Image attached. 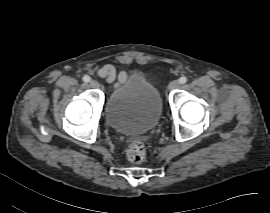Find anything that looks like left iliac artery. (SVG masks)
<instances>
[{"mask_svg":"<svg viewBox=\"0 0 270 213\" xmlns=\"http://www.w3.org/2000/svg\"><path fill=\"white\" fill-rule=\"evenodd\" d=\"M179 82H180L181 84L186 83V82H187V77H186V76L180 77V78H179Z\"/></svg>","mask_w":270,"mask_h":213,"instance_id":"obj_1","label":"left iliac artery"}]
</instances>
